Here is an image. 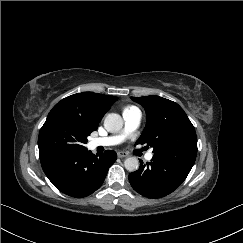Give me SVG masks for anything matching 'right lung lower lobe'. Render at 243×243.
I'll list each match as a JSON object with an SVG mask.
<instances>
[{
    "instance_id": "1",
    "label": "right lung lower lobe",
    "mask_w": 243,
    "mask_h": 243,
    "mask_svg": "<svg viewBox=\"0 0 243 243\" xmlns=\"http://www.w3.org/2000/svg\"><path fill=\"white\" fill-rule=\"evenodd\" d=\"M116 159L117 154L112 150L94 155L85 149L40 160L43 171L58 190L81 198L90 195L102 185L109 167Z\"/></svg>"
}]
</instances>
